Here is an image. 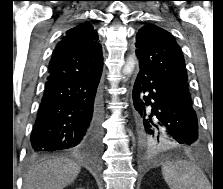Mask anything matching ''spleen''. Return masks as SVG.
Here are the masks:
<instances>
[{"label":"spleen","instance_id":"3e777b00","mask_svg":"<svg viewBox=\"0 0 223 189\" xmlns=\"http://www.w3.org/2000/svg\"><path fill=\"white\" fill-rule=\"evenodd\" d=\"M162 174L170 189H209L205 174L191 162L178 161L163 165Z\"/></svg>","mask_w":223,"mask_h":189}]
</instances>
